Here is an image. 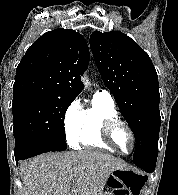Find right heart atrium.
<instances>
[{
    "mask_svg": "<svg viewBox=\"0 0 178 195\" xmlns=\"http://www.w3.org/2000/svg\"><path fill=\"white\" fill-rule=\"evenodd\" d=\"M64 129L68 144L76 147L79 143L83 127V110L81 100L74 99L64 112Z\"/></svg>",
    "mask_w": 178,
    "mask_h": 195,
    "instance_id": "obj_1",
    "label": "right heart atrium"
}]
</instances>
